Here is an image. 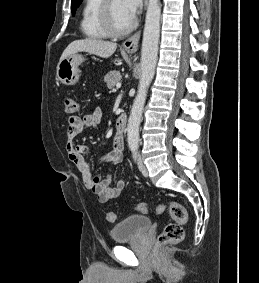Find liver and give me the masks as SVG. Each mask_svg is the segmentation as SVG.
Instances as JSON below:
<instances>
[{"label": "liver", "mask_w": 259, "mask_h": 283, "mask_svg": "<svg viewBox=\"0 0 259 283\" xmlns=\"http://www.w3.org/2000/svg\"><path fill=\"white\" fill-rule=\"evenodd\" d=\"M117 48V44L109 41L86 38L71 42L61 55L60 61L73 53L85 51L102 58H109Z\"/></svg>", "instance_id": "1"}]
</instances>
